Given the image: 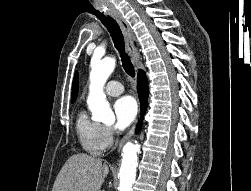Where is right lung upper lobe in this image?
<instances>
[{
  "instance_id": "obj_1",
  "label": "right lung upper lobe",
  "mask_w": 251,
  "mask_h": 191,
  "mask_svg": "<svg viewBox=\"0 0 251 191\" xmlns=\"http://www.w3.org/2000/svg\"><path fill=\"white\" fill-rule=\"evenodd\" d=\"M144 74L142 70L138 71V76ZM78 95V73H75L73 84H72V96H71V103H74Z\"/></svg>"
}]
</instances>
